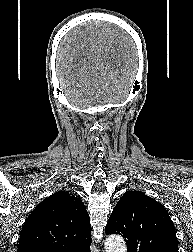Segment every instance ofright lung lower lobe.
Listing matches in <instances>:
<instances>
[{
  "label": "right lung lower lobe",
  "instance_id": "1",
  "mask_svg": "<svg viewBox=\"0 0 193 252\" xmlns=\"http://www.w3.org/2000/svg\"><path fill=\"white\" fill-rule=\"evenodd\" d=\"M84 252H90V248H89V249H87V250H85Z\"/></svg>",
  "mask_w": 193,
  "mask_h": 252
}]
</instances>
